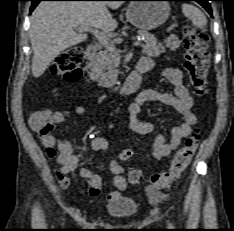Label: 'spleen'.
I'll return each mask as SVG.
<instances>
[{"label": "spleen", "instance_id": "spleen-1", "mask_svg": "<svg viewBox=\"0 0 234 231\" xmlns=\"http://www.w3.org/2000/svg\"><path fill=\"white\" fill-rule=\"evenodd\" d=\"M182 12L183 14L189 18L193 25L198 28H202L207 24V19L205 15L192 4L184 3L182 5Z\"/></svg>", "mask_w": 234, "mask_h": 231}]
</instances>
